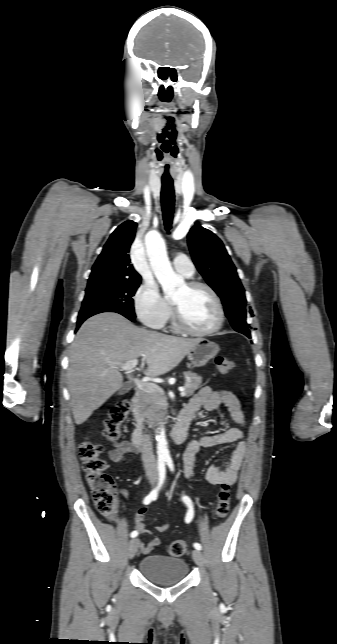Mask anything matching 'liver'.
Returning <instances> with one entry per match:
<instances>
[{
  "instance_id": "obj_1",
  "label": "liver",
  "mask_w": 337,
  "mask_h": 644,
  "mask_svg": "<svg viewBox=\"0 0 337 644\" xmlns=\"http://www.w3.org/2000/svg\"><path fill=\"white\" fill-rule=\"evenodd\" d=\"M199 339L178 338L138 328L117 313L86 320L70 347L68 389L75 423H84L123 384L115 363L142 356L148 376L175 368Z\"/></svg>"
}]
</instances>
